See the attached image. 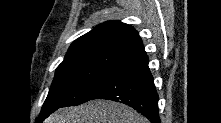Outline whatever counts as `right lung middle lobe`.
Masks as SVG:
<instances>
[{"mask_svg": "<svg viewBox=\"0 0 221 123\" xmlns=\"http://www.w3.org/2000/svg\"><path fill=\"white\" fill-rule=\"evenodd\" d=\"M128 59L126 55L99 49L66 55L55 71L40 116L88 101L95 86Z\"/></svg>", "mask_w": 221, "mask_h": 123, "instance_id": "obj_1", "label": "right lung middle lobe"}]
</instances>
